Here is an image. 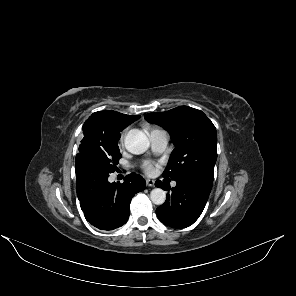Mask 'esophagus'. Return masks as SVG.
Masks as SVG:
<instances>
[{
  "label": "esophagus",
  "instance_id": "esophagus-1",
  "mask_svg": "<svg viewBox=\"0 0 296 296\" xmlns=\"http://www.w3.org/2000/svg\"><path fill=\"white\" fill-rule=\"evenodd\" d=\"M146 184H147V186H149V187H153V186L155 185V181L152 180V179H147V180H146Z\"/></svg>",
  "mask_w": 296,
  "mask_h": 296
}]
</instances>
